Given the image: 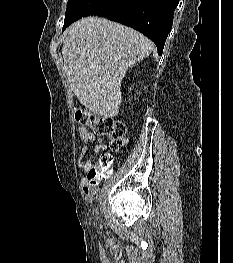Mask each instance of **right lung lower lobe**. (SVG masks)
<instances>
[{"instance_id":"right-lung-lower-lobe-1","label":"right lung lower lobe","mask_w":233,"mask_h":263,"mask_svg":"<svg viewBox=\"0 0 233 263\" xmlns=\"http://www.w3.org/2000/svg\"><path fill=\"white\" fill-rule=\"evenodd\" d=\"M178 3L179 0H122L112 13L103 17L140 31L156 44L158 54L162 55Z\"/></svg>"}]
</instances>
